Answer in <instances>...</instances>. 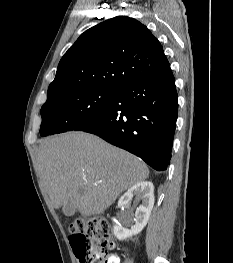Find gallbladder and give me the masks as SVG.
<instances>
[{"label":"gallbladder","mask_w":233,"mask_h":263,"mask_svg":"<svg viewBox=\"0 0 233 263\" xmlns=\"http://www.w3.org/2000/svg\"><path fill=\"white\" fill-rule=\"evenodd\" d=\"M62 211L64 213L65 216H73L76 212V208L75 206L73 205V203L71 201H69L67 203V205H65L63 208H62Z\"/></svg>","instance_id":"obj_1"}]
</instances>
